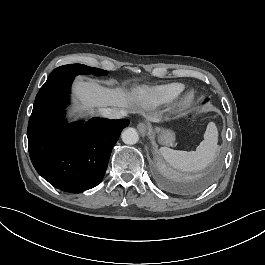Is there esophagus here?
<instances>
[{"label":"esophagus","instance_id":"obj_1","mask_svg":"<svg viewBox=\"0 0 265 265\" xmlns=\"http://www.w3.org/2000/svg\"><path fill=\"white\" fill-rule=\"evenodd\" d=\"M137 129L139 130V132L141 133V135H142L143 137H145V136L147 135V133H148V127H147V125L144 124V123H139V124L137 125Z\"/></svg>","mask_w":265,"mask_h":265}]
</instances>
